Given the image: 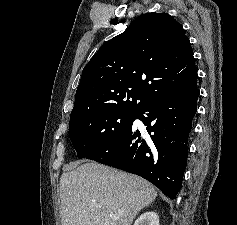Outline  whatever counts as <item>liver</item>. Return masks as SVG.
<instances>
[{
  "label": "liver",
  "mask_w": 237,
  "mask_h": 225,
  "mask_svg": "<svg viewBox=\"0 0 237 225\" xmlns=\"http://www.w3.org/2000/svg\"><path fill=\"white\" fill-rule=\"evenodd\" d=\"M62 225H131L157 197L152 184L97 162L60 178Z\"/></svg>",
  "instance_id": "1"
}]
</instances>
